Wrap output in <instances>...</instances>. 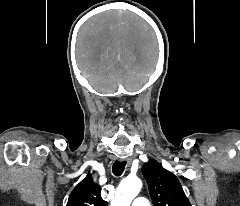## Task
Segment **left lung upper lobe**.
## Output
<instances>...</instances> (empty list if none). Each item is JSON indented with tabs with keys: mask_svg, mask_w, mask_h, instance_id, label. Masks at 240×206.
<instances>
[{
	"mask_svg": "<svg viewBox=\"0 0 240 206\" xmlns=\"http://www.w3.org/2000/svg\"><path fill=\"white\" fill-rule=\"evenodd\" d=\"M155 206H191L177 177L156 161L142 167Z\"/></svg>",
	"mask_w": 240,
	"mask_h": 206,
	"instance_id": "obj_1",
	"label": "left lung upper lobe"
}]
</instances>
